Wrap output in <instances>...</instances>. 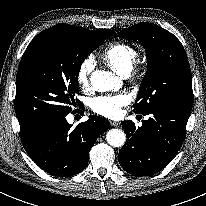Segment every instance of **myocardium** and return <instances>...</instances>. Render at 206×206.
Returning a JSON list of instances; mask_svg holds the SVG:
<instances>
[{"instance_id": "obj_1", "label": "myocardium", "mask_w": 206, "mask_h": 206, "mask_svg": "<svg viewBox=\"0 0 206 206\" xmlns=\"http://www.w3.org/2000/svg\"><path fill=\"white\" fill-rule=\"evenodd\" d=\"M139 71V69H136V72H138Z\"/></svg>"}]
</instances>
